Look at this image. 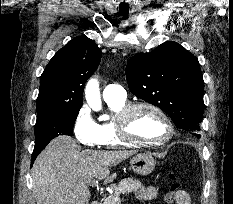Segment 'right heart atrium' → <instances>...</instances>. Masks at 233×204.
Listing matches in <instances>:
<instances>
[{
	"label": "right heart atrium",
	"instance_id": "right-heart-atrium-1",
	"mask_svg": "<svg viewBox=\"0 0 233 204\" xmlns=\"http://www.w3.org/2000/svg\"><path fill=\"white\" fill-rule=\"evenodd\" d=\"M73 133L77 141L86 147L100 145L98 124L86 106H82L75 115Z\"/></svg>",
	"mask_w": 233,
	"mask_h": 204
}]
</instances>
